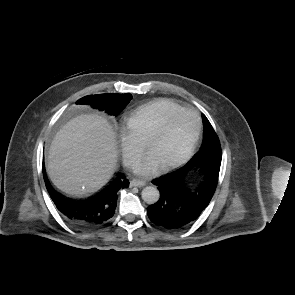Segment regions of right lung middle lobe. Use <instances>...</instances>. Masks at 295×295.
Wrapping results in <instances>:
<instances>
[{
    "label": "right lung middle lobe",
    "mask_w": 295,
    "mask_h": 295,
    "mask_svg": "<svg viewBox=\"0 0 295 295\" xmlns=\"http://www.w3.org/2000/svg\"><path fill=\"white\" fill-rule=\"evenodd\" d=\"M132 99L131 94H99L89 95L77 101V104L91 105V107L105 111L109 115L117 116Z\"/></svg>",
    "instance_id": "1"
}]
</instances>
